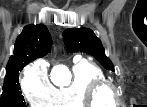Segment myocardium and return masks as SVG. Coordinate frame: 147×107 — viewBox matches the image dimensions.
Instances as JSON below:
<instances>
[{"label":"myocardium","instance_id":"1","mask_svg":"<svg viewBox=\"0 0 147 107\" xmlns=\"http://www.w3.org/2000/svg\"><path fill=\"white\" fill-rule=\"evenodd\" d=\"M102 90H109L112 93L113 103L118 102V94L115 85L106 80H96L92 82L85 92V104L87 107H106L107 105H100L97 101V96Z\"/></svg>","mask_w":147,"mask_h":107}]
</instances>
